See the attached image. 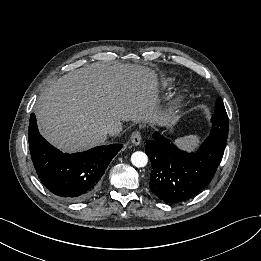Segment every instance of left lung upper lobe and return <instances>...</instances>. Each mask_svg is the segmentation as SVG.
Wrapping results in <instances>:
<instances>
[{
    "label": "left lung upper lobe",
    "instance_id": "1",
    "mask_svg": "<svg viewBox=\"0 0 261 261\" xmlns=\"http://www.w3.org/2000/svg\"><path fill=\"white\" fill-rule=\"evenodd\" d=\"M213 116H219V119L223 122L226 123L228 125V116L223 104V101L221 98L217 99L216 102V109H215V115ZM223 141L226 143L227 141V136H225V138L223 139Z\"/></svg>",
    "mask_w": 261,
    "mask_h": 261
}]
</instances>
